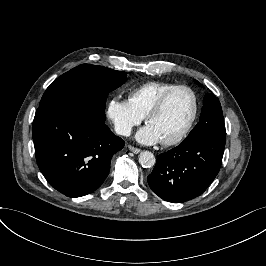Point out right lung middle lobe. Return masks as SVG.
I'll return each instance as SVG.
<instances>
[{"instance_id":"obj_1","label":"right lung middle lobe","mask_w":266,"mask_h":266,"mask_svg":"<svg viewBox=\"0 0 266 266\" xmlns=\"http://www.w3.org/2000/svg\"><path fill=\"white\" fill-rule=\"evenodd\" d=\"M127 74L103 66L82 64L54 80L45 91L39 107L59 97H71L92 104L105 116L109 92L125 83Z\"/></svg>"}]
</instances>
